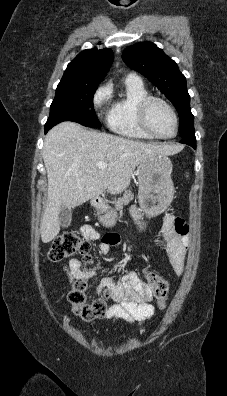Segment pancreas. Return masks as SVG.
Here are the masks:
<instances>
[{
    "instance_id": "1",
    "label": "pancreas",
    "mask_w": 227,
    "mask_h": 396,
    "mask_svg": "<svg viewBox=\"0 0 227 396\" xmlns=\"http://www.w3.org/2000/svg\"><path fill=\"white\" fill-rule=\"evenodd\" d=\"M133 198V194L130 191H126L122 198L115 200L116 209H120L123 205L129 203V201Z\"/></svg>"
}]
</instances>
